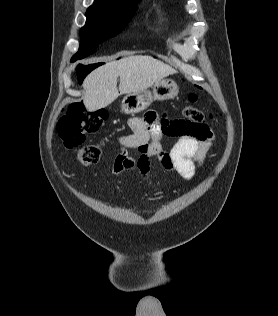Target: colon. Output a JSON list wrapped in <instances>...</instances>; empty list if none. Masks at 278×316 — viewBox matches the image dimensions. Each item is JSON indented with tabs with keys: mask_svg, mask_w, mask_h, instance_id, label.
Masks as SVG:
<instances>
[{
	"mask_svg": "<svg viewBox=\"0 0 278 316\" xmlns=\"http://www.w3.org/2000/svg\"><path fill=\"white\" fill-rule=\"evenodd\" d=\"M190 102L197 101V96L193 93L189 95ZM183 114L186 120L177 121L170 133L172 135H200L210 116L205 111L188 105L184 108ZM107 116L103 111H87L82 102L72 103L65 115H63L57 125V133L63 144L67 148H78V157L82 164L92 165L96 163L102 153V146L99 143L84 145L86 136L96 132L104 123Z\"/></svg>",
	"mask_w": 278,
	"mask_h": 316,
	"instance_id": "colon-1",
	"label": "colon"
}]
</instances>
